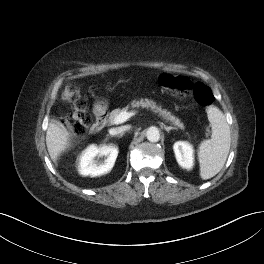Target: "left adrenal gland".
<instances>
[{
	"mask_svg": "<svg viewBox=\"0 0 264 264\" xmlns=\"http://www.w3.org/2000/svg\"><path fill=\"white\" fill-rule=\"evenodd\" d=\"M164 129L169 133L170 130H177V127H172V126H164Z\"/></svg>",
	"mask_w": 264,
	"mask_h": 264,
	"instance_id": "a2214340",
	"label": "left adrenal gland"
}]
</instances>
